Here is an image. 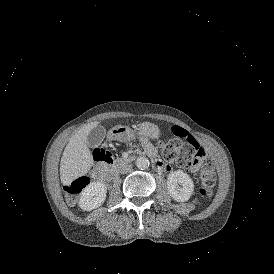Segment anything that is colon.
Wrapping results in <instances>:
<instances>
[{
	"label": "colon",
	"mask_w": 274,
	"mask_h": 274,
	"mask_svg": "<svg viewBox=\"0 0 274 274\" xmlns=\"http://www.w3.org/2000/svg\"><path fill=\"white\" fill-rule=\"evenodd\" d=\"M142 136L141 134L139 135ZM160 151L163 159L173 161L179 168H190L195 159L194 146L178 141L175 138L165 139L160 143ZM201 166L198 168L201 183L197 187V193L203 198H210L214 192L216 173L214 164L211 161H200ZM91 183L90 175H79L78 179L72 180L71 183L64 186V193L68 205L76 202L75 196L82 189H87Z\"/></svg>",
	"instance_id": "5ec220e1"
}]
</instances>
